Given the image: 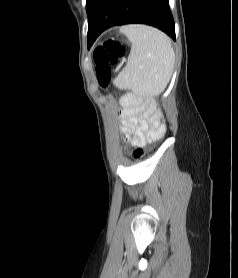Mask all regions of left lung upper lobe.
<instances>
[{"label": "left lung upper lobe", "mask_w": 238, "mask_h": 278, "mask_svg": "<svg viewBox=\"0 0 238 278\" xmlns=\"http://www.w3.org/2000/svg\"><path fill=\"white\" fill-rule=\"evenodd\" d=\"M99 0H87L86 2V11H87V15H88V20L96 6V4L98 3Z\"/></svg>", "instance_id": "1"}]
</instances>
